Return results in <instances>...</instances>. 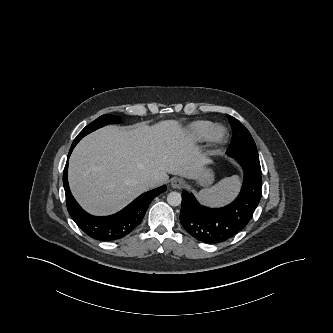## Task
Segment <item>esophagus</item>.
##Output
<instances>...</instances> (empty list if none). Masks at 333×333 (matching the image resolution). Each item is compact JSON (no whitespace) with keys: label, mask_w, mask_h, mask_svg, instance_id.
<instances>
[{"label":"esophagus","mask_w":333,"mask_h":333,"mask_svg":"<svg viewBox=\"0 0 333 333\" xmlns=\"http://www.w3.org/2000/svg\"><path fill=\"white\" fill-rule=\"evenodd\" d=\"M171 186L175 189H181L185 186V182L181 178H175L171 181Z\"/></svg>","instance_id":"34e87169"}]
</instances>
